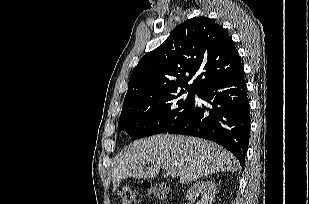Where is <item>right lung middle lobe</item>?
Here are the masks:
<instances>
[{
    "mask_svg": "<svg viewBox=\"0 0 309 204\" xmlns=\"http://www.w3.org/2000/svg\"><path fill=\"white\" fill-rule=\"evenodd\" d=\"M183 93L185 91L124 102L118 129L125 131L133 140L167 132L195 104L194 94L197 93H189L185 100L179 99Z\"/></svg>",
    "mask_w": 309,
    "mask_h": 204,
    "instance_id": "right-lung-middle-lobe-1",
    "label": "right lung middle lobe"
}]
</instances>
